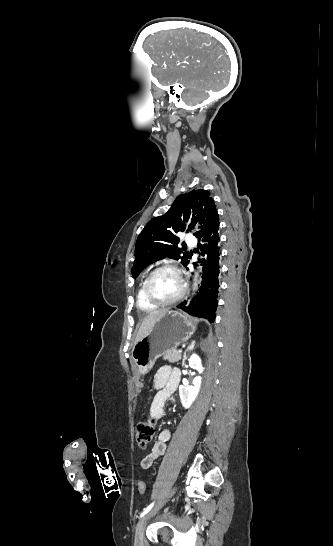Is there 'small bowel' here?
<instances>
[{
    "label": "small bowel",
    "instance_id": "small-bowel-1",
    "mask_svg": "<svg viewBox=\"0 0 333 546\" xmlns=\"http://www.w3.org/2000/svg\"><path fill=\"white\" fill-rule=\"evenodd\" d=\"M180 376L181 374L178 369H172L168 366H164L157 371L153 380V389L156 393L150 406V415L152 418L158 419L163 416L165 402L177 389ZM170 438L171 432L169 429H162L159 432L157 441L151 451L141 460L142 468H151L155 461L165 454Z\"/></svg>",
    "mask_w": 333,
    "mask_h": 546
}]
</instances>
